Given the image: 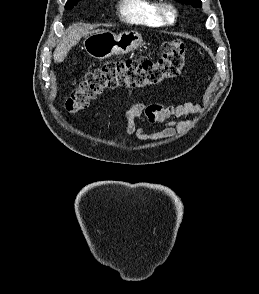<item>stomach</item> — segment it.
<instances>
[{"mask_svg":"<svg viewBox=\"0 0 259 294\" xmlns=\"http://www.w3.org/2000/svg\"><path fill=\"white\" fill-rule=\"evenodd\" d=\"M142 43V36L136 31H124L116 35L109 30H98L87 35L83 44L91 57L105 59L134 51Z\"/></svg>","mask_w":259,"mask_h":294,"instance_id":"stomach-1","label":"stomach"}]
</instances>
